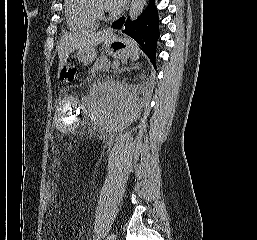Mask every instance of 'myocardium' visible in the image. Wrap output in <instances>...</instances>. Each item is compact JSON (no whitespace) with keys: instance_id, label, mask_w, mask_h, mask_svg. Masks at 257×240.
Instances as JSON below:
<instances>
[{"instance_id":"myocardium-1","label":"myocardium","mask_w":257,"mask_h":240,"mask_svg":"<svg viewBox=\"0 0 257 240\" xmlns=\"http://www.w3.org/2000/svg\"><path fill=\"white\" fill-rule=\"evenodd\" d=\"M86 2H87V7H88L89 11L98 20L108 17V15H109L108 9L102 8L99 5L98 0H86Z\"/></svg>"}]
</instances>
